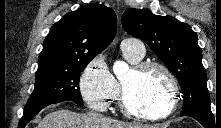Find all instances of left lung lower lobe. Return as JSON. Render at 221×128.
<instances>
[{"label":"left lung lower lobe","mask_w":221,"mask_h":128,"mask_svg":"<svg viewBox=\"0 0 221 128\" xmlns=\"http://www.w3.org/2000/svg\"><path fill=\"white\" fill-rule=\"evenodd\" d=\"M181 116H190L199 121L205 128H215L218 126L217 118L213 114L189 113Z\"/></svg>","instance_id":"obj_1"}]
</instances>
